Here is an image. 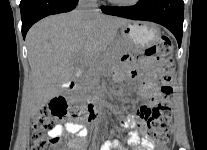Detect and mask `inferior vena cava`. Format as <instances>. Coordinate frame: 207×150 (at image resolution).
I'll use <instances>...</instances> for the list:
<instances>
[{"mask_svg": "<svg viewBox=\"0 0 207 150\" xmlns=\"http://www.w3.org/2000/svg\"><path fill=\"white\" fill-rule=\"evenodd\" d=\"M97 7V0H79L78 12L81 16L86 17L98 13Z\"/></svg>", "mask_w": 207, "mask_h": 150, "instance_id": "obj_1", "label": "inferior vena cava"}]
</instances>
